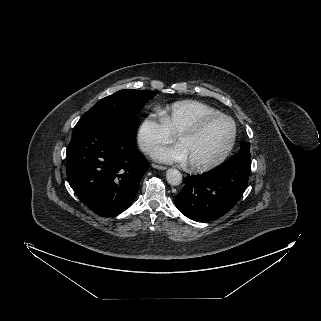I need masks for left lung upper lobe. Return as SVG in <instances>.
Returning a JSON list of instances; mask_svg holds the SVG:
<instances>
[{"label": "left lung upper lobe", "mask_w": 321, "mask_h": 321, "mask_svg": "<svg viewBox=\"0 0 321 321\" xmlns=\"http://www.w3.org/2000/svg\"><path fill=\"white\" fill-rule=\"evenodd\" d=\"M238 154L245 155L247 157H250V143H244Z\"/></svg>", "instance_id": "obj_1"}]
</instances>
